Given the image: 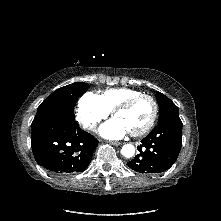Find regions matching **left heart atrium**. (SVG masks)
Returning a JSON list of instances; mask_svg holds the SVG:
<instances>
[{
    "mask_svg": "<svg viewBox=\"0 0 221 221\" xmlns=\"http://www.w3.org/2000/svg\"><path fill=\"white\" fill-rule=\"evenodd\" d=\"M128 132L129 130L125 124L117 118L107 121L99 128L100 135L108 139L122 138Z\"/></svg>",
    "mask_w": 221,
    "mask_h": 221,
    "instance_id": "obj_1",
    "label": "left heart atrium"
}]
</instances>
